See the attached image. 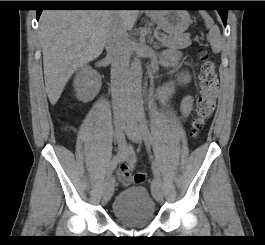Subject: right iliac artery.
I'll return each mask as SVG.
<instances>
[{
	"label": "right iliac artery",
	"instance_id": "right-iliac-artery-1",
	"mask_svg": "<svg viewBox=\"0 0 265 245\" xmlns=\"http://www.w3.org/2000/svg\"><path fill=\"white\" fill-rule=\"evenodd\" d=\"M113 138L115 143L118 145L119 151L117 153L116 156H114V158L110 161V163L108 164L107 167V175L109 176L111 173V169L112 167L118 162L119 158H120V152L123 148V137L124 134L123 133H117L115 130L112 132Z\"/></svg>",
	"mask_w": 265,
	"mask_h": 245
}]
</instances>
